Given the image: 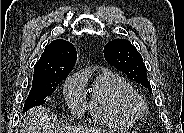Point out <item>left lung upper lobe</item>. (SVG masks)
Returning a JSON list of instances; mask_svg holds the SVG:
<instances>
[{"mask_svg":"<svg viewBox=\"0 0 184 133\" xmlns=\"http://www.w3.org/2000/svg\"><path fill=\"white\" fill-rule=\"evenodd\" d=\"M104 56L109 64L124 72L129 79L143 85L152 93L142 56L128 40L114 39L108 42L104 47Z\"/></svg>","mask_w":184,"mask_h":133,"instance_id":"left-lung-upper-lobe-1","label":"left lung upper lobe"}]
</instances>
